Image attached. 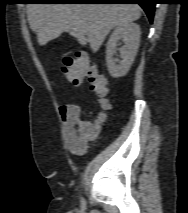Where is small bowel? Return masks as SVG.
I'll return each instance as SVG.
<instances>
[{
    "mask_svg": "<svg viewBox=\"0 0 188 213\" xmlns=\"http://www.w3.org/2000/svg\"><path fill=\"white\" fill-rule=\"evenodd\" d=\"M59 113L65 124V136L69 150L76 154H83L87 149L88 141L96 136L99 123L81 118V109L78 106L62 105ZM73 134L78 137L79 145H75Z\"/></svg>",
    "mask_w": 188,
    "mask_h": 213,
    "instance_id": "c3829d8e",
    "label": "small bowel"
}]
</instances>
